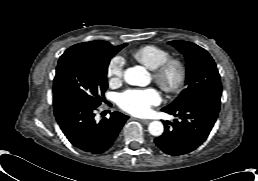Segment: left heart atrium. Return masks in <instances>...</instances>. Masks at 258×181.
<instances>
[{
  "mask_svg": "<svg viewBox=\"0 0 258 181\" xmlns=\"http://www.w3.org/2000/svg\"><path fill=\"white\" fill-rule=\"evenodd\" d=\"M159 92L154 88L127 90L119 96V106L133 115H146L160 103Z\"/></svg>",
  "mask_w": 258,
  "mask_h": 181,
  "instance_id": "39dd6f15",
  "label": "left heart atrium"
}]
</instances>
